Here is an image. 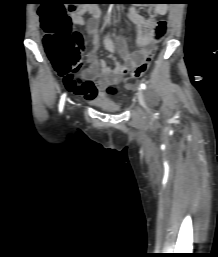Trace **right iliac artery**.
<instances>
[{
    "mask_svg": "<svg viewBox=\"0 0 218 257\" xmlns=\"http://www.w3.org/2000/svg\"><path fill=\"white\" fill-rule=\"evenodd\" d=\"M65 99H66V93H64L61 96L60 102H59V112L62 113L63 108H64V104H65Z\"/></svg>",
    "mask_w": 218,
    "mask_h": 257,
    "instance_id": "1",
    "label": "right iliac artery"
}]
</instances>
